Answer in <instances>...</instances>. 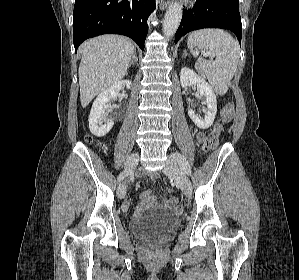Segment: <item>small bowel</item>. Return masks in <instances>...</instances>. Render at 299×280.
<instances>
[{"instance_id":"c3829d8e","label":"small bowel","mask_w":299,"mask_h":280,"mask_svg":"<svg viewBox=\"0 0 299 280\" xmlns=\"http://www.w3.org/2000/svg\"><path fill=\"white\" fill-rule=\"evenodd\" d=\"M206 136L204 133H199L198 134V140L203 143L205 140ZM158 177V174L156 172H151L150 173V178L151 179H156ZM175 202L174 197H170L168 199L162 200L160 203L157 201L156 197L153 195V193L149 190L144 191L141 194V203L136 209V214H140L144 209L148 208H157V207H167L171 205L172 203ZM129 207V203L125 202L122 206L123 210L126 211Z\"/></svg>"}]
</instances>
